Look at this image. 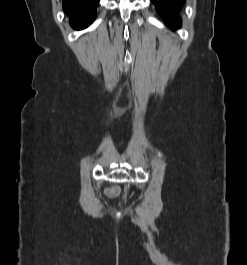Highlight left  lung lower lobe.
Returning a JSON list of instances; mask_svg holds the SVG:
<instances>
[{"label": "left lung lower lobe", "instance_id": "0a47b994", "mask_svg": "<svg viewBox=\"0 0 247 265\" xmlns=\"http://www.w3.org/2000/svg\"><path fill=\"white\" fill-rule=\"evenodd\" d=\"M156 10L164 18L166 25L176 28L180 26L181 19L178 12L185 3V0H151Z\"/></svg>", "mask_w": 247, "mask_h": 265}]
</instances>
